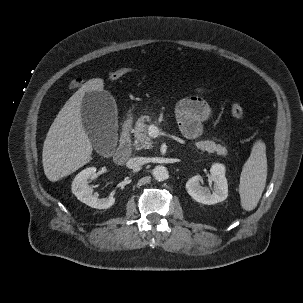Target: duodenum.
Returning <instances> with one entry per match:
<instances>
[{
  "label": "duodenum",
  "mask_w": 303,
  "mask_h": 303,
  "mask_svg": "<svg viewBox=\"0 0 303 303\" xmlns=\"http://www.w3.org/2000/svg\"><path fill=\"white\" fill-rule=\"evenodd\" d=\"M130 130L131 122L127 120L123 124L120 142L113 156V160L117 164H123L131 155Z\"/></svg>",
  "instance_id": "410a0bca"
}]
</instances>
